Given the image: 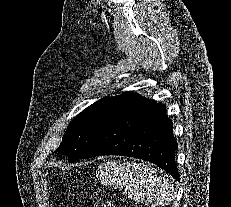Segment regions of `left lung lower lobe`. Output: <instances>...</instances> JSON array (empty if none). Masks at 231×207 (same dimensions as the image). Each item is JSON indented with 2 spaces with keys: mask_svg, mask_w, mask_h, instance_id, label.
Instances as JSON below:
<instances>
[{
  "mask_svg": "<svg viewBox=\"0 0 231 207\" xmlns=\"http://www.w3.org/2000/svg\"><path fill=\"white\" fill-rule=\"evenodd\" d=\"M172 127L165 105L135 94L107 120L81 159L131 156L154 163L179 180Z\"/></svg>",
  "mask_w": 231,
  "mask_h": 207,
  "instance_id": "1",
  "label": "left lung lower lobe"
}]
</instances>
